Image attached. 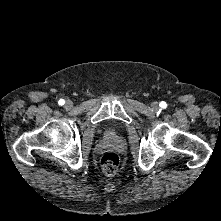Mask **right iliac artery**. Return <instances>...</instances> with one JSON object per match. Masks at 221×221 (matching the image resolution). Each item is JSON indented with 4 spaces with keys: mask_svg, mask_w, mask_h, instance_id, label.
I'll use <instances>...</instances> for the list:
<instances>
[{
    "mask_svg": "<svg viewBox=\"0 0 221 221\" xmlns=\"http://www.w3.org/2000/svg\"><path fill=\"white\" fill-rule=\"evenodd\" d=\"M58 103H59V105H64L65 101H64L63 99H60V100L58 101Z\"/></svg>",
    "mask_w": 221,
    "mask_h": 221,
    "instance_id": "obj_1",
    "label": "right iliac artery"
}]
</instances>
